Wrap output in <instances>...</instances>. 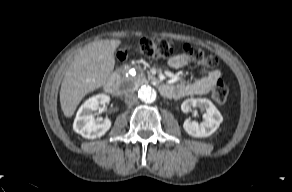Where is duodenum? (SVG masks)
<instances>
[{"label": "duodenum", "instance_id": "obj_1", "mask_svg": "<svg viewBox=\"0 0 292 192\" xmlns=\"http://www.w3.org/2000/svg\"><path fill=\"white\" fill-rule=\"evenodd\" d=\"M169 86L166 84L161 85L160 90L164 94L167 92ZM106 90L110 94L113 95H119L121 93V81H120V75L118 73H115L107 82L106 84Z\"/></svg>", "mask_w": 292, "mask_h": 192}]
</instances>
